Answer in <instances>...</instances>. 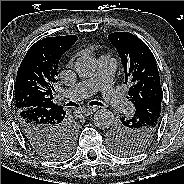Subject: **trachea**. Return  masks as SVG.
Masks as SVG:
<instances>
[{"label":"trachea","instance_id":"3493384b","mask_svg":"<svg viewBox=\"0 0 184 184\" xmlns=\"http://www.w3.org/2000/svg\"><path fill=\"white\" fill-rule=\"evenodd\" d=\"M90 105H95V106H101L103 105L101 102H98V101H92L90 102ZM66 106H77V104L75 102H72V101H69Z\"/></svg>","mask_w":184,"mask_h":184}]
</instances>
